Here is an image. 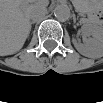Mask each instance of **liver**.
<instances>
[{"label": "liver", "mask_w": 103, "mask_h": 103, "mask_svg": "<svg viewBox=\"0 0 103 103\" xmlns=\"http://www.w3.org/2000/svg\"><path fill=\"white\" fill-rule=\"evenodd\" d=\"M42 2L31 3L24 0L1 2V42L2 56L18 52L30 32V13L36 8H44Z\"/></svg>", "instance_id": "1"}]
</instances>
